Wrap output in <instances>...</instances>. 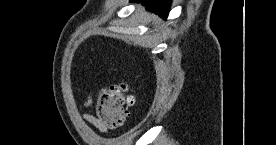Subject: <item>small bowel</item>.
<instances>
[{"instance_id":"small-bowel-1","label":"small bowel","mask_w":276,"mask_h":145,"mask_svg":"<svg viewBox=\"0 0 276 145\" xmlns=\"http://www.w3.org/2000/svg\"><path fill=\"white\" fill-rule=\"evenodd\" d=\"M93 104V99L91 96H86L85 101L83 102V108L84 109H89ZM83 119L85 122H87L88 124L92 125L93 127H95L96 129H98L100 132L104 133V134H108L109 130L108 128L103 125L94 115L90 114V113H84L83 114Z\"/></svg>"}]
</instances>
